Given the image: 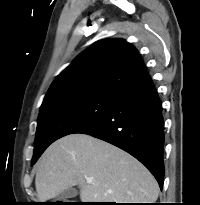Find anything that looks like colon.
<instances>
[{
    "label": "colon",
    "mask_w": 200,
    "mask_h": 205,
    "mask_svg": "<svg viewBox=\"0 0 200 205\" xmlns=\"http://www.w3.org/2000/svg\"><path fill=\"white\" fill-rule=\"evenodd\" d=\"M59 205H69V204L66 202V203H62V204H59Z\"/></svg>",
    "instance_id": "colon-1"
}]
</instances>
